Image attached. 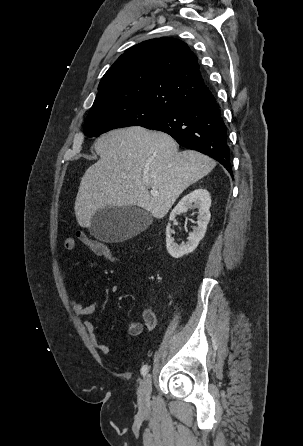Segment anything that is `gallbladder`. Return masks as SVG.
Returning <instances> with one entry per match:
<instances>
[{
  "mask_svg": "<svg viewBox=\"0 0 303 446\" xmlns=\"http://www.w3.org/2000/svg\"><path fill=\"white\" fill-rule=\"evenodd\" d=\"M150 221L151 216L137 208L106 207L94 214L89 230L99 240L120 242L143 231Z\"/></svg>",
  "mask_w": 303,
  "mask_h": 446,
  "instance_id": "1",
  "label": "gallbladder"
}]
</instances>
